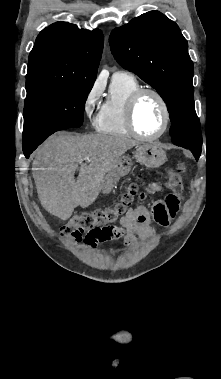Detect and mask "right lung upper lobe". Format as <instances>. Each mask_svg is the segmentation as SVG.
Returning a JSON list of instances; mask_svg holds the SVG:
<instances>
[{
	"label": "right lung upper lobe",
	"mask_w": 221,
	"mask_h": 379,
	"mask_svg": "<svg viewBox=\"0 0 221 379\" xmlns=\"http://www.w3.org/2000/svg\"><path fill=\"white\" fill-rule=\"evenodd\" d=\"M102 50L99 29H80L68 22L46 27L29 55L27 94L76 82L94 83Z\"/></svg>",
	"instance_id": "obj_1"
}]
</instances>
